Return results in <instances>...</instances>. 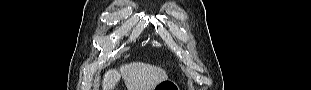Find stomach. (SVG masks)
Instances as JSON below:
<instances>
[{
	"instance_id": "obj_1",
	"label": "stomach",
	"mask_w": 311,
	"mask_h": 90,
	"mask_svg": "<svg viewBox=\"0 0 311 90\" xmlns=\"http://www.w3.org/2000/svg\"><path fill=\"white\" fill-rule=\"evenodd\" d=\"M154 90H179L178 86L175 84V82L171 80H164L161 83H159Z\"/></svg>"
}]
</instances>
